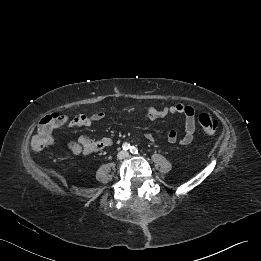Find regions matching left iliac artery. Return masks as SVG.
<instances>
[{"mask_svg": "<svg viewBox=\"0 0 261 261\" xmlns=\"http://www.w3.org/2000/svg\"><path fill=\"white\" fill-rule=\"evenodd\" d=\"M130 152L133 153V154H137L138 153V148L135 147V146H131Z\"/></svg>", "mask_w": 261, "mask_h": 261, "instance_id": "44dca946", "label": "left iliac artery"}]
</instances>
